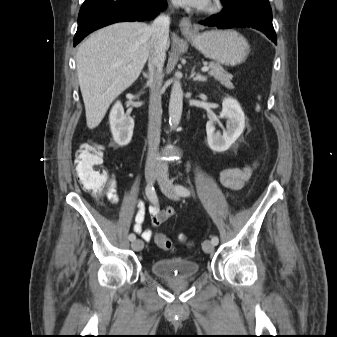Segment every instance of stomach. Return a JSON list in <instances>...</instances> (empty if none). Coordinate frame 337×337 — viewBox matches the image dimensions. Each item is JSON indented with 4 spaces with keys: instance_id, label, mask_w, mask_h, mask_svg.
Listing matches in <instances>:
<instances>
[{
    "instance_id": "stomach-1",
    "label": "stomach",
    "mask_w": 337,
    "mask_h": 337,
    "mask_svg": "<svg viewBox=\"0 0 337 337\" xmlns=\"http://www.w3.org/2000/svg\"><path fill=\"white\" fill-rule=\"evenodd\" d=\"M186 37L204 56L228 66L244 62L249 54L247 40L233 30H212Z\"/></svg>"
}]
</instances>
